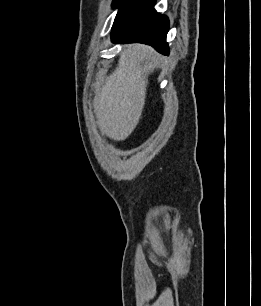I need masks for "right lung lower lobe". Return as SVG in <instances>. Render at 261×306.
I'll use <instances>...</instances> for the list:
<instances>
[{
  "label": "right lung lower lobe",
  "instance_id": "1",
  "mask_svg": "<svg viewBox=\"0 0 261 306\" xmlns=\"http://www.w3.org/2000/svg\"><path fill=\"white\" fill-rule=\"evenodd\" d=\"M156 0H114L119 7L111 32L113 42H139L168 55L169 20L154 9Z\"/></svg>",
  "mask_w": 261,
  "mask_h": 306
}]
</instances>
